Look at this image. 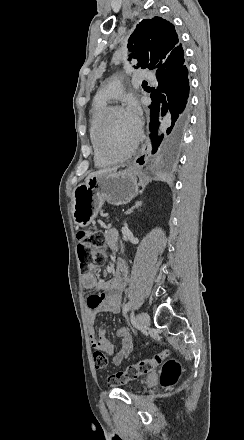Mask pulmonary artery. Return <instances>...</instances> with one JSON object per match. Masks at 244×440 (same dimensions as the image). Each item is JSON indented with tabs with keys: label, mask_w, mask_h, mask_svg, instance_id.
Here are the masks:
<instances>
[{
	"label": "pulmonary artery",
	"mask_w": 244,
	"mask_h": 440,
	"mask_svg": "<svg viewBox=\"0 0 244 440\" xmlns=\"http://www.w3.org/2000/svg\"><path fill=\"white\" fill-rule=\"evenodd\" d=\"M106 90H98L95 93V102H108L109 99H119L121 84L117 82H108L105 84Z\"/></svg>",
	"instance_id": "1"
}]
</instances>
